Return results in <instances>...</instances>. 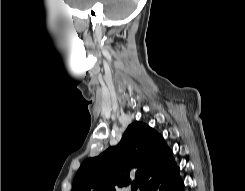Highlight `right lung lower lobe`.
<instances>
[{
    "label": "right lung lower lobe",
    "mask_w": 245,
    "mask_h": 191,
    "mask_svg": "<svg viewBox=\"0 0 245 191\" xmlns=\"http://www.w3.org/2000/svg\"><path fill=\"white\" fill-rule=\"evenodd\" d=\"M147 191H184V182L179 175V167L175 165Z\"/></svg>",
    "instance_id": "1"
}]
</instances>
